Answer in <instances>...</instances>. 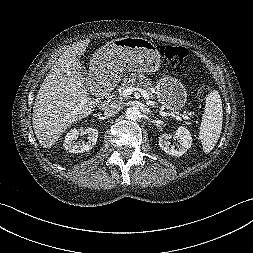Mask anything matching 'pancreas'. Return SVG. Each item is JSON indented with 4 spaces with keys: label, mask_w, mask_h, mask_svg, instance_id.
Returning a JSON list of instances; mask_svg holds the SVG:
<instances>
[{
    "label": "pancreas",
    "mask_w": 253,
    "mask_h": 253,
    "mask_svg": "<svg viewBox=\"0 0 253 253\" xmlns=\"http://www.w3.org/2000/svg\"><path fill=\"white\" fill-rule=\"evenodd\" d=\"M139 86L142 87L145 91L148 92V94L153 97L152 95V89H153V85L150 81V79L145 78L144 75L139 74L138 76H136V74H132V76L128 77L125 76L123 78V81L121 83V85L119 86L118 89V94L116 96L117 99L122 100L124 98H126L127 96H123V90L129 86Z\"/></svg>",
    "instance_id": "pancreas-1"
}]
</instances>
